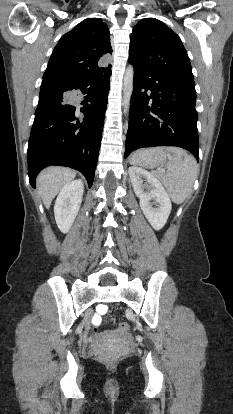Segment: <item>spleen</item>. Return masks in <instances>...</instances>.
Masks as SVG:
<instances>
[{"label":"spleen","instance_id":"3e777b00","mask_svg":"<svg viewBox=\"0 0 233 414\" xmlns=\"http://www.w3.org/2000/svg\"><path fill=\"white\" fill-rule=\"evenodd\" d=\"M173 153L170 161L165 164L167 171H154V175L161 180L167 188L168 194L176 204H182L192 194L194 182L198 176L199 167L192 155L178 148H170ZM138 151L130 157V163L145 167L136 157Z\"/></svg>","mask_w":233,"mask_h":414}]
</instances>
